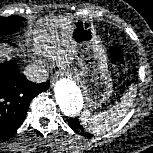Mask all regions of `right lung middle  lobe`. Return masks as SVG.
I'll return each mask as SVG.
<instances>
[{"instance_id":"obj_1","label":"right lung middle lobe","mask_w":153,"mask_h":153,"mask_svg":"<svg viewBox=\"0 0 153 153\" xmlns=\"http://www.w3.org/2000/svg\"><path fill=\"white\" fill-rule=\"evenodd\" d=\"M22 21V17H0V37H4L15 31L21 25Z\"/></svg>"}]
</instances>
